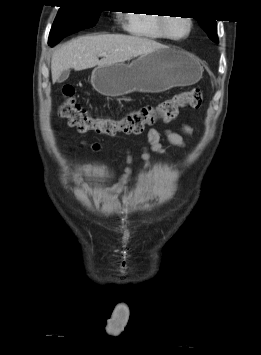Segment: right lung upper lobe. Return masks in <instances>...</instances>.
I'll return each instance as SVG.
<instances>
[{
  "mask_svg": "<svg viewBox=\"0 0 261 355\" xmlns=\"http://www.w3.org/2000/svg\"><path fill=\"white\" fill-rule=\"evenodd\" d=\"M64 2H77V1H80V0H63Z\"/></svg>",
  "mask_w": 261,
  "mask_h": 355,
  "instance_id": "cb5924a9",
  "label": "right lung upper lobe"
}]
</instances>
